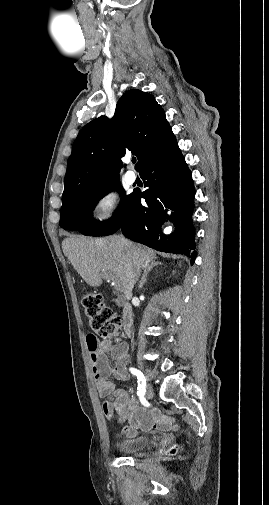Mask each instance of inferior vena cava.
<instances>
[{"mask_svg": "<svg viewBox=\"0 0 269 505\" xmlns=\"http://www.w3.org/2000/svg\"><path fill=\"white\" fill-rule=\"evenodd\" d=\"M137 272H140V267L137 265Z\"/></svg>", "mask_w": 269, "mask_h": 505, "instance_id": "inferior-vena-cava-1", "label": "inferior vena cava"}]
</instances>
